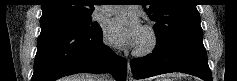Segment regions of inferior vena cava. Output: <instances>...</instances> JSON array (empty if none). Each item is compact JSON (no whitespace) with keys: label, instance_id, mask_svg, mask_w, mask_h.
Masks as SVG:
<instances>
[{"label":"inferior vena cava","instance_id":"1","mask_svg":"<svg viewBox=\"0 0 237 81\" xmlns=\"http://www.w3.org/2000/svg\"><path fill=\"white\" fill-rule=\"evenodd\" d=\"M102 80L103 81H110V76L107 74L102 75Z\"/></svg>","mask_w":237,"mask_h":81}]
</instances>
